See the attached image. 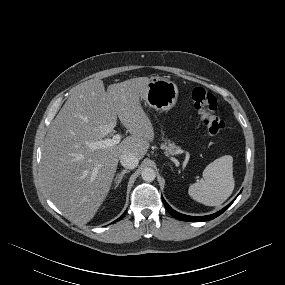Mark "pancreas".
<instances>
[{
    "label": "pancreas",
    "instance_id": "pancreas-1",
    "mask_svg": "<svg viewBox=\"0 0 285 285\" xmlns=\"http://www.w3.org/2000/svg\"><path fill=\"white\" fill-rule=\"evenodd\" d=\"M161 148L165 150L166 154H175L179 150V147H176L174 143L170 142H168V145H166V143L163 144Z\"/></svg>",
    "mask_w": 285,
    "mask_h": 285
}]
</instances>
